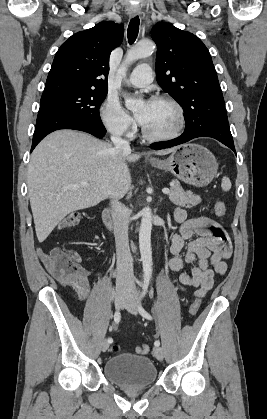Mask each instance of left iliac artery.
<instances>
[{
    "instance_id": "1",
    "label": "left iliac artery",
    "mask_w": 267,
    "mask_h": 419,
    "mask_svg": "<svg viewBox=\"0 0 267 419\" xmlns=\"http://www.w3.org/2000/svg\"><path fill=\"white\" fill-rule=\"evenodd\" d=\"M146 291H147V288H144V290H143V293H142V296H144L145 294H146ZM138 310H139V313L144 317V318H146V319H148V320H152V316L141 306V305H139V307H138ZM154 345L155 346H159L160 345V341L159 340H156L155 342H154Z\"/></svg>"
}]
</instances>
